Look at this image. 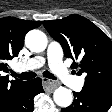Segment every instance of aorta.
I'll return each instance as SVG.
<instances>
[{"mask_svg":"<svg viewBox=\"0 0 112 112\" xmlns=\"http://www.w3.org/2000/svg\"><path fill=\"white\" fill-rule=\"evenodd\" d=\"M47 37L40 30H31L25 37V44L33 52H42L47 47ZM54 102L60 107H68L71 105L73 96L71 90L65 87H59L53 94Z\"/></svg>","mask_w":112,"mask_h":112,"instance_id":"obj_1","label":"aorta"}]
</instances>
